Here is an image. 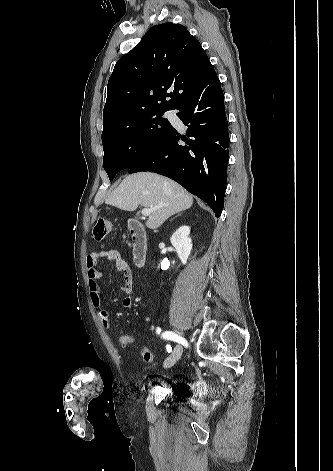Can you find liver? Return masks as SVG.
Wrapping results in <instances>:
<instances>
[{
    "mask_svg": "<svg viewBox=\"0 0 333 471\" xmlns=\"http://www.w3.org/2000/svg\"><path fill=\"white\" fill-rule=\"evenodd\" d=\"M105 203L125 211H135L139 205L151 208L146 226L157 229L172 215L190 208L193 197L171 179L140 172L126 177Z\"/></svg>",
    "mask_w": 333,
    "mask_h": 471,
    "instance_id": "obj_1",
    "label": "liver"
}]
</instances>
